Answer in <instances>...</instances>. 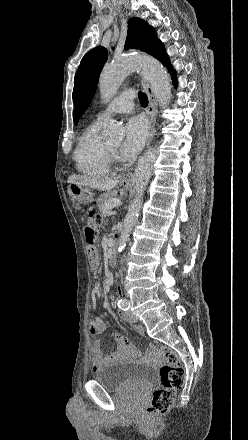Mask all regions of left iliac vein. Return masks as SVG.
Instances as JSON below:
<instances>
[{"instance_id":"obj_1","label":"left iliac vein","mask_w":248,"mask_h":440,"mask_svg":"<svg viewBox=\"0 0 248 440\" xmlns=\"http://www.w3.org/2000/svg\"><path fill=\"white\" fill-rule=\"evenodd\" d=\"M124 319L129 322H136L137 321V317L131 311H127L124 313Z\"/></svg>"}]
</instances>
